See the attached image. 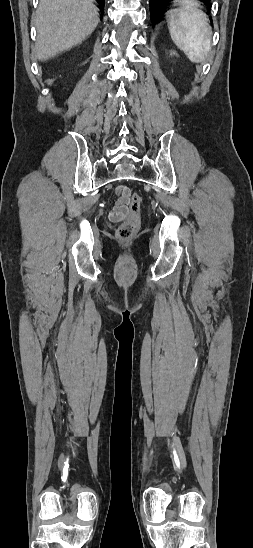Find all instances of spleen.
<instances>
[{
  "instance_id": "spleen-1",
  "label": "spleen",
  "mask_w": 253,
  "mask_h": 548,
  "mask_svg": "<svg viewBox=\"0 0 253 548\" xmlns=\"http://www.w3.org/2000/svg\"><path fill=\"white\" fill-rule=\"evenodd\" d=\"M180 8L167 12L171 38L193 63H201L211 49V27L207 15L193 0H183Z\"/></svg>"
}]
</instances>
